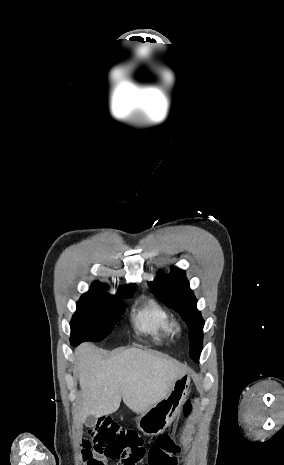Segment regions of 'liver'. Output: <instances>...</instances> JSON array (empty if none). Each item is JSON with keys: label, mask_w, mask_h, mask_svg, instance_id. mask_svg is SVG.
Returning <instances> with one entry per match:
<instances>
[{"label": "liver", "mask_w": 284, "mask_h": 465, "mask_svg": "<svg viewBox=\"0 0 284 465\" xmlns=\"http://www.w3.org/2000/svg\"><path fill=\"white\" fill-rule=\"evenodd\" d=\"M75 357L82 389L79 423L89 415L99 419L115 413L121 399L133 413H145L185 375L183 365L141 349H126L104 359L101 349L82 343Z\"/></svg>", "instance_id": "obj_1"}]
</instances>
